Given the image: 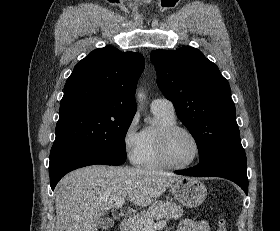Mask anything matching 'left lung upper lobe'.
Masks as SVG:
<instances>
[{"instance_id": "left-lung-upper-lobe-1", "label": "left lung upper lobe", "mask_w": 280, "mask_h": 231, "mask_svg": "<svg viewBox=\"0 0 280 231\" xmlns=\"http://www.w3.org/2000/svg\"><path fill=\"white\" fill-rule=\"evenodd\" d=\"M157 84L194 137L200 161L226 145L240 142L228 81L201 51L185 46L150 55Z\"/></svg>"}]
</instances>
